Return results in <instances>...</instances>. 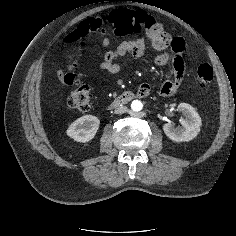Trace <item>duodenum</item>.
I'll return each mask as SVG.
<instances>
[{
  "label": "duodenum",
  "mask_w": 236,
  "mask_h": 236,
  "mask_svg": "<svg viewBox=\"0 0 236 236\" xmlns=\"http://www.w3.org/2000/svg\"><path fill=\"white\" fill-rule=\"evenodd\" d=\"M136 96H141L139 93H135L130 90H126L120 93L115 99L112 100L111 106L112 107H119L125 104H128L132 101Z\"/></svg>",
  "instance_id": "obj_1"
}]
</instances>
